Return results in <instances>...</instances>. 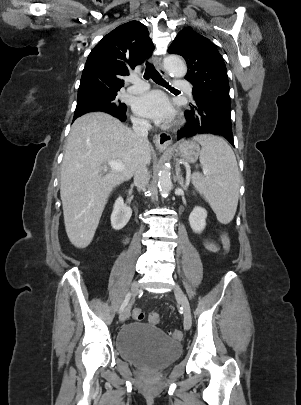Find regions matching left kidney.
<instances>
[{
	"mask_svg": "<svg viewBox=\"0 0 301 405\" xmlns=\"http://www.w3.org/2000/svg\"><path fill=\"white\" fill-rule=\"evenodd\" d=\"M207 211L202 207H195L189 215V223L195 233H201L206 227Z\"/></svg>",
	"mask_w": 301,
	"mask_h": 405,
	"instance_id": "obj_1",
	"label": "left kidney"
}]
</instances>
